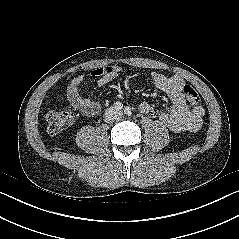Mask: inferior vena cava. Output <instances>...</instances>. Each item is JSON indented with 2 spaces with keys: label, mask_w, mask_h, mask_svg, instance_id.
Masks as SVG:
<instances>
[{
  "label": "inferior vena cava",
  "mask_w": 239,
  "mask_h": 239,
  "mask_svg": "<svg viewBox=\"0 0 239 239\" xmlns=\"http://www.w3.org/2000/svg\"><path fill=\"white\" fill-rule=\"evenodd\" d=\"M120 113L117 111V110H114V109H108L106 112H105V115H104V121L105 122H112L114 120H117L118 117H119Z\"/></svg>",
  "instance_id": "602c4592"
}]
</instances>
